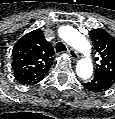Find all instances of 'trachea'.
Instances as JSON below:
<instances>
[{"label": "trachea", "mask_w": 115, "mask_h": 119, "mask_svg": "<svg viewBox=\"0 0 115 119\" xmlns=\"http://www.w3.org/2000/svg\"><path fill=\"white\" fill-rule=\"evenodd\" d=\"M56 52H64L67 51L66 46L63 44V42H58L55 46Z\"/></svg>", "instance_id": "1"}]
</instances>
